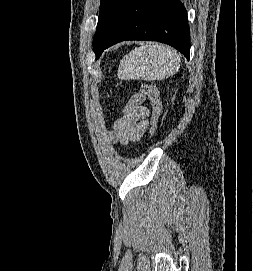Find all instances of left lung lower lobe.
<instances>
[{
    "instance_id": "1",
    "label": "left lung lower lobe",
    "mask_w": 253,
    "mask_h": 271,
    "mask_svg": "<svg viewBox=\"0 0 253 271\" xmlns=\"http://www.w3.org/2000/svg\"><path fill=\"white\" fill-rule=\"evenodd\" d=\"M124 40H151L168 44L188 60L190 30L187 12L179 0H130L102 52Z\"/></svg>"
}]
</instances>
